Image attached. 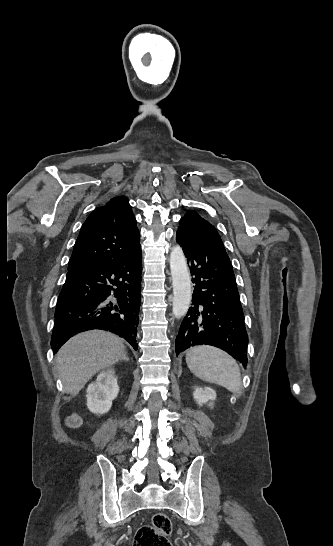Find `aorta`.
I'll list each match as a JSON object with an SVG mask.
<instances>
[{
  "label": "aorta",
  "mask_w": 333,
  "mask_h": 546,
  "mask_svg": "<svg viewBox=\"0 0 333 546\" xmlns=\"http://www.w3.org/2000/svg\"><path fill=\"white\" fill-rule=\"evenodd\" d=\"M170 269L173 285V314L176 318L186 315L191 302V278L186 258L179 246L170 253Z\"/></svg>",
  "instance_id": "obj_1"
}]
</instances>
